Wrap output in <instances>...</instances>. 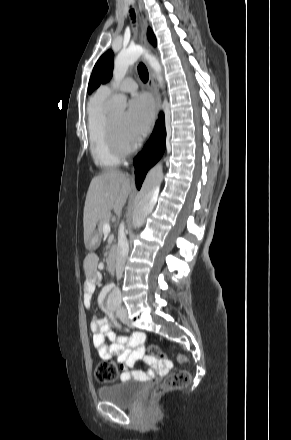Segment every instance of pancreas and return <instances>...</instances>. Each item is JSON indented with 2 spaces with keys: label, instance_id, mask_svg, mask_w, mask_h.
Wrapping results in <instances>:
<instances>
[{
  "label": "pancreas",
  "instance_id": "pancreas-1",
  "mask_svg": "<svg viewBox=\"0 0 291 440\" xmlns=\"http://www.w3.org/2000/svg\"><path fill=\"white\" fill-rule=\"evenodd\" d=\"M110 219V215L108 214L106 217L99 220L97 233L99 236L103 235V225L108 223Z\"/></svg>",
  "mask_w": 291,
  "mask_h": 440
}]
</instances>
